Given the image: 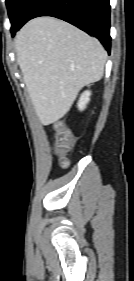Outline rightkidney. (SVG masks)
<instances>
[{
	"instance_id": "obj_1",
	"label": "right kidney",
	"mask_w": 134,
	"mask_h": 281,
	"mask_svg": "<svg viewBox=\"0 0 134 281\" xmlns=\"http://www.w3.org/2000/svg\"><path fill=\"white\" fill-rule=\"evenodd\" d=\"M90 91H84L79 99L78 108L79 110H84L86 108L87 103L90 101Z\"/></svg>"
}]
</instances>
